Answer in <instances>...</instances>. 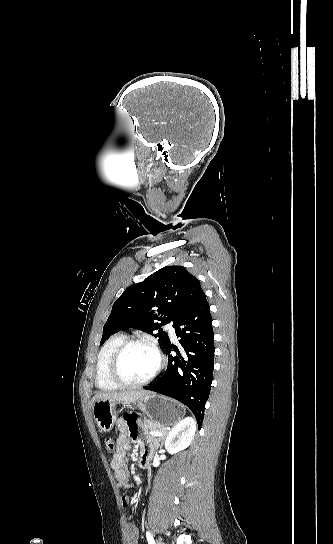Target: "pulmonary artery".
Returning a JSON list of instances; mask_svg holds the SVG:
<instances>
[{"mask_svg": "<svg viewBox=\"0 0 333 544\" xmlns=\"http://www.w3.org/2000/svg\"><path fill=\"white\" fill-rule=\"evenodd\" d=\"M167 328H168V330H169V334H170L171 338H172V339H175V338H176V333H175V329H174V327H173V324H172V323H169V324L167 325Z\"/></svg>", "mask_w": 333, "mask_h": 544, "instance_id": "pulmonary-artery-1", "label": "pulmonary artery"}]
</instances>
